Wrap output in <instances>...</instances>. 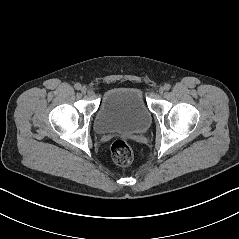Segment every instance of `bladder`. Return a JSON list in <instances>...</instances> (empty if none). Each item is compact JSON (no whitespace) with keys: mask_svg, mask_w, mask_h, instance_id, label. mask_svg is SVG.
I'll list each match as a JSON object with an SVG mask.
<instances>
[{"mask_svg":"<svg viewBox=\"0 0 239 239\" xmlns=\"http://www.w3.org/2000/svg\"><path fill=\"white\" fill-rule=\"evenodd\" d=\"M152 123V115L142 91L133 86L113 88L105 92L94 118L98 134H144Z\"/></svg>","mask_w":239,"mask_h":239,"instance_id":"31cf9c89","label":"bladder"}]
</instances>
